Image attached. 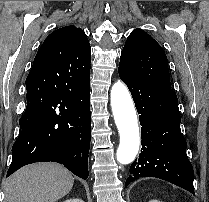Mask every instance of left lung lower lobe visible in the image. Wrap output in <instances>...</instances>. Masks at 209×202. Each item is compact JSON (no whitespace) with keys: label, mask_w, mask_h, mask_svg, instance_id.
Wrapping results in <instances>:
<instances>
[{"label":"left lung lower lobe","mask_w":209,"mask_h":202,"mask_svg":"<svg viewBox=\"0 0 209 202\" xmlns=\"http://www.w3.org/2000/svg\"><path fill=\"white\" fill-rule=\"evenodd\" d=\"M119 76L131 91L142 125L141 153L130 167L125 187L140 177H156L195 195L175 92L132 74L119 71Z\"/></svg>","instance_id":"left-lung-lower-lobe-1"}]
</instances>
